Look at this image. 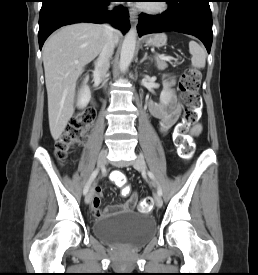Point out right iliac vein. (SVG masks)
I'll list each match as a JSON object with an SVG mask.
<instances>
[{"mask_svg":"<svg viewBox=\"0 0 258 275\" xmlns=\"http://www.w3.org/2000/svg\"><path fill=\"white\" fill-rule=\"evenodd\" d=\"M107 154H108L107 149H103L100 152L99 157H98V166L99 167H102L105 164L106 158H107ZM91 198H92V191H90L89 193H87V195L85 197V203L89 204L91 202Z\"/></svg>","mask_w":258,"mask_h":275,"instance_id":"1","label":"right iliac vein"}]
</instances>
